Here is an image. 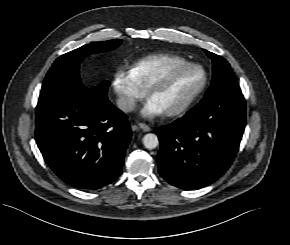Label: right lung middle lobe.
<instances>
[{"label": "right lung middle lobe", "instance_id": "dd1d6c3e", "mask_svg": "<svg viewBox=\"0 0 290 245\" xmlns=\"http://www.w3.org/2000/svg\"><path fill=\"white\" fill-rule=\"evenodd\" d=\"M122 40L92 42L68 52L55 60L42 85L39 101L52 99L83 88L79 77V64L88 55L114 50ZM109 81H104L96 88L106 94Z\"/></svg>", "mask_w": 290, "mask_h": 245}]
</instances>
